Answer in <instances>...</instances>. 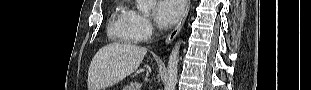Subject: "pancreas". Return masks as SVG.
Masks as SVG:
<instances>
[{
  "label": "pancreas",
  "mask_w": 311,
  "mask_h": 90,
  "mask_svg": "<svg viewBox=\"0 0 311 90\" xmlns=\"http://www.w3.org/2000/svg\"><path fill=\"white\" fill-rule=\"evenodd\" d=\"M124 90H140V84L137 82H131L129 86H126Z\"/></svg>",
  "instance_id": "pancreas-1"
}]
</instances>
